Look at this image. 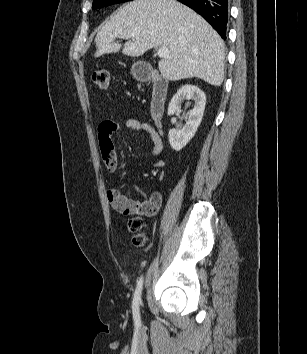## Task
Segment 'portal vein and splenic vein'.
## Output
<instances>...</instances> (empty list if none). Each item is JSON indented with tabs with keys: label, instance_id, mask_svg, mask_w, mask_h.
<instances>
[{
	"label": "portal vein and splenic vein",
	"instance_id": "obj_1",
	"mask_svg": "<svg viewBox=\"0 0 307 354\" xmlns=\"http://www.w3.org/2000/svg\"><path fill=\"white\" fill-rule=\"evenodd\" d=\"M170 54L169 50L166 48V47H161L158 49L157 51V55L160 57V58H165V57H168Z\"/></svg>",
	"mask_w": 307,
	"mask_h": 354
}]
</instances>
